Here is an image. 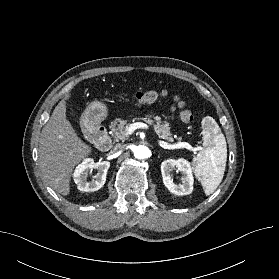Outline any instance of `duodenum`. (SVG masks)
Returning a JSON list of instances; mask_svg holds the SVG:
<instances>
[{
  "label": "duodenum",
  "instance_id": "obj_1",
  "mask_svg": "<svg viewBox=\"0 0 279 279\" xmlns=\"http://www.w3.org/2000/svg\"><path fill=\"white\" fill-rule=\"evenodd\" d=\"M85 133L98 150L108 151L111 148L112 141L104 126L89 122L85 126Z\"/></svg>",
  "mask_w": 279,
  "mask_h": 279
}]
</instances>
